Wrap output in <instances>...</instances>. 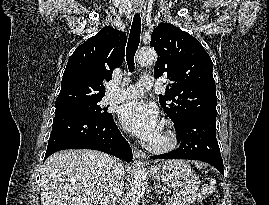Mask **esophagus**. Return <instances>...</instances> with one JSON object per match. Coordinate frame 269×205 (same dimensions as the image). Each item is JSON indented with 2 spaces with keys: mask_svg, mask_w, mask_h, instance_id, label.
I'll return each instance as SVG.
<instances>
[{
  "mask_svg": "<svg viewBox=\"0 0 269 205\" xmlns=\"http://www.w3.org/2000/svg\"><path fill=\"white\" fill-rule=\"evenodd\" d=\"M141 10H142L141 7H138V6H136L134 8L135 13H140ZM145 157H146V153L144 151L139 150V149L134 150V159H135V161L144 160Z\"/></svg>",
  "mask_w": 269,
  "mask_h": 205,
  "instance_id": "34e87169",
  "label": "esophagus"
}]
</instances>
